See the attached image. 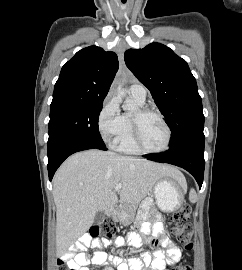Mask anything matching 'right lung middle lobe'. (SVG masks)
I'll list each match as a JSON object with an SVG mask.
<instances>
[{
    "mask_svg": "<svg viewBox=\"0 0 242 270\" xmlns=\"http://www.w3.org/2000/svg\"><path fill=\"white\" fill-rule=\"evenodd\" d=\"M101 103L50 106L48 151L68 141L105 145L98 129Z\"/></svg>",
    "mask_w": 242,
    "mask_h": 270,
    "instance_id": "obj_1",
    "label": "right lung middle lobe"
}]
</instances>
